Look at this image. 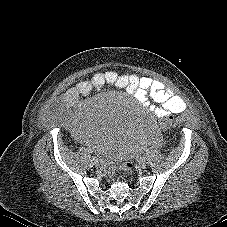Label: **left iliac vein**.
I'll return each instance as SVG.
<instances>
[{
	"instance_id": "1",
	"label": "left iliac vein",
	"mask_w": 227,
	"mask_h": 227,
	"mask_svg": "<svg viewBox=\"0 0 227 227\" xmlns=\"http://www.w3.org/2000/svg\"><path fill=\"white\" fill-rule=\"evenodd\" d=\"M138 165H139V167H141V168H145L146 165H147V160H146V158H145V157L139 158V159H138Z\"/></svg>"
}]
</instances>
